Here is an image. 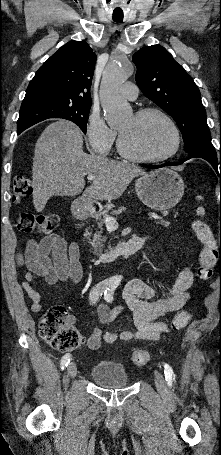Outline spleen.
I'll return each instance as SVG.
<instances>
[{"instance_id": "spleen-1", "label": "spleen", "mask_w": 221, "mask_h": 455, "mask_svg": "<svg viewBox=\"0 0 221 455\" xmlns=\"http://www.w3.org/2000/svg\"><path fill=\"white\" fill-rule=\"evenodd\" d=\"M196 198H197V200H203V197L201 195H198ZM204 213L205 212H204V209L202 207H199L197 209V214L202 216V215H204Z\"/></svg>"}]
</instances>
